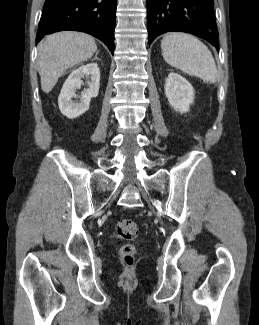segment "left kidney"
<instances>
[{"instance_id":"1","label":"left kidney","mask_w":259,"mask_h":325,"mask_svg":"<svg viewBox=\"0 0 259 325\" xmlns=\"http://www.w3.org/2000/svg\"><path fill=\"white\" fill-rule=\"evenodd\" d=\"M165 95L174 110L181 114L189 111L193 103L192 85L177 73H170L165 81Z\"/></svg>"}]
</instances>
